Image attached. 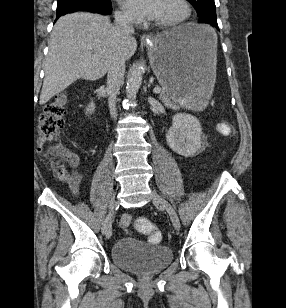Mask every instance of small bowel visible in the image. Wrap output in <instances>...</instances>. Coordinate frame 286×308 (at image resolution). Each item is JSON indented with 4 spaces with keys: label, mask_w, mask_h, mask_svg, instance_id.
Returning <instances> with one entry per match:
<instances>
[{
    "label": "small bowel",
    "mask_w": 286,
    "mask_h": 308,
    "mask_svg": "<svg viewBox=\"0 0 286 308\" xmlns=\"http://www.w3.org/2000/svg\"><path fill=\"white\" fill-rule=\"evenodd\" d=\"M72 160H74V158H72ZM74 162V161H73ZM80 175L79 174H75L69 181V187L72 191V193L74 195H77L79 193V184H80ZM130 216L129 215H125L122 217L121 221H120V225L124 228L128 227L129 223H130Z\"/></svg>",
    "instance_id": "c3829d8e"
}]
</instances>
